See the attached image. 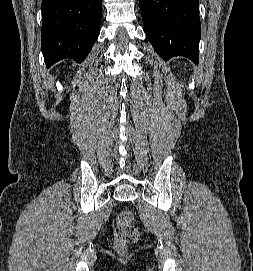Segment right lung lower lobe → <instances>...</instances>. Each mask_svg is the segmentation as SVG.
Wrapping results in <instances>:
<instances>
[{"instance_id":"right-lung-lower-lobe-1","label":"right lung lower lobe","mask_w":253,"mask_h":271,"mask_svg":"<svg viewBox=\"0 0 253 271\" xmlns=\"http://www.w3.org/2000/svg\"><path fill=\"white\" fill-rule=\"evenodd\" d=\"M41 9L47 68L64 58L81 63L99 35L102 0H42Z\"/></svg>"}]
</instances>
